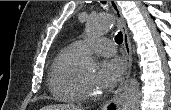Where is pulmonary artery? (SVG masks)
Instances as JSON below:
<instances>
[{"label": "pulmonary artery", "mask_w": 171, "mask_h": 110, "mask_svg": "<svg viewBox=\"0 0 171 110\" xmlns=\"http://www.w3.org/2000/svg\"><path fill=\"white\" fill-rule=\"evenodd\" d=\"M73 45L82 53L90 48L93 52L103 56H112L116 51L115 44L104 37H98L94 40H77Z\"/></svg>", "instance_id": "pulmonary-artery-1"}]
</instances>
